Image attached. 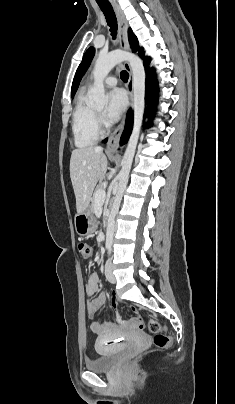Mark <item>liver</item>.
Here are the masks:
<instances>
[{"label":"liver","instance_id":"1","mask_svg":"<svg viewBox=\"0 0 235 404\" xmlns=\"http://www.w3.org/2000/svg\"><path fill=\"white\" fill-rule=\"evenodd\" d=\"M107 165V157L102 147L91 146L72 151L70 178L76 198L77 213L89 207L93 190L97 182L104 179Z\"/></svg>","mask_w":235,"mask_h":404}]
</instances>
